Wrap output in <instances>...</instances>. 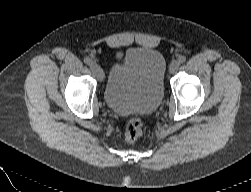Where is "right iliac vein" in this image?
<instances>
[{
	"label": "right iliac vein",
	"mask_w": 251,
	"mask_h": 192,
	"mask_svg": "<svg viewBox=\"0 0 251 192\" xmlns=\"http://www.w3.org/2000/svg\"><path fill=\"white\" fill-rule=\"evenodd\" d=\"M90 68H91L93 74L95 75V77L99 81H102L103 76H104L102 68L96 62H92V64L90 65Z\"/></svg>",
	"instance_id": "right-iliac-vein-1"
}]
</instances>
